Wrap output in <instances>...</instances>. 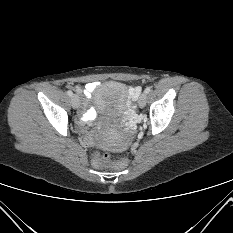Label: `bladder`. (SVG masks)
Masks as SVG:
<instances>
[{
  "instance_id": "1",
  "label": "bladder",
  "mask_w": 233,
  "mask_h": 233,
  "mask_svg": "<svg viewBox=\"0 0 233 233\" xmlns=\"http://www.w3.org/2000/svg\"><path fill=\"white\" fill-rule=\"evenodd\" d=\"M94 102L96 108L108 116L121 115L127 108V87L125 84L117 81L103 83L95 90ZM100 142L111 149L119 150L123 147V142L120 140L103 138Z\"/></svg>"
}]
</instances>
